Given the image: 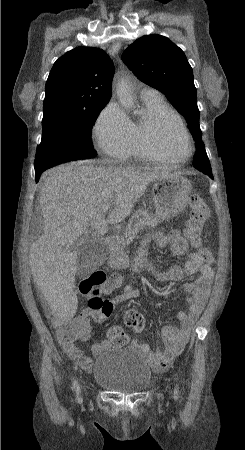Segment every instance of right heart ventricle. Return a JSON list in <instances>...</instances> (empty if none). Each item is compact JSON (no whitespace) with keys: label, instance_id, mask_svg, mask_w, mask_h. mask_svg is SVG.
<instances>
[{"label":"right heart ventricle","instance_id":"right-heart-ventricle-1","mask_svg":"<svg viewBox=\"0 0 245 450\" xmlns=\"http://www.w3.org/2000/svg\"><path fill=\"white\" fill-rule=\"evenodd\" d=\"M141 100L145 107V115L136 122H133L131 156H133L136 161L169 162L172 159L157 153L150 147L148 136L149 128L158 118L166 115L177 119L182 124L184 123L176 110H174L160 94L141 98Z\"/></svg>","mask_w":245,"mask_h":450}]
</instances>
